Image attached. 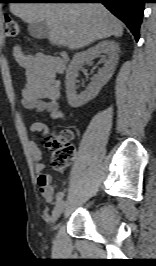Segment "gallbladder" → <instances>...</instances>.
<instances>
[{
    "label": "gallbladder",
    "instance_id": "obj_1",
    "mask_svg": "<svg viewBox=\"0 0 156 266\" xmlns=\"http://www.w3.org/2000/svg\"><path fill=\"white\" fill-rule=\"evenodd\" d=\"M29 34L36 39H44L49 34V27L45 21L29 23Z\"/></svg>",
    "mask_w": 156,
    "mask_h": 266
}]
</instances>
